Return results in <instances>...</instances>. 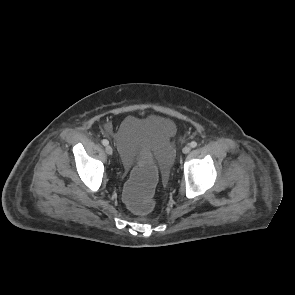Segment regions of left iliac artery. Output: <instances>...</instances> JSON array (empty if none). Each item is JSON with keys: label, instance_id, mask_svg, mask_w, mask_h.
Wrapping results in <instances>:
<instances>
[{"label": "left iliac artery", "instance_id": "1", "mask_svg": "<svg viewBox=\"0 0 295 295\" xmlns=\"http://www.w3.org/2000/svg\"><path fill=\"white\" fill-rule=\"evenodd\" d=\"M190 146H191L192 148H195V147L197 146V142L192 141V142L190 143Z\"/></svg>", "mask_w": 295, "mask_h": 295}]
</instances>
